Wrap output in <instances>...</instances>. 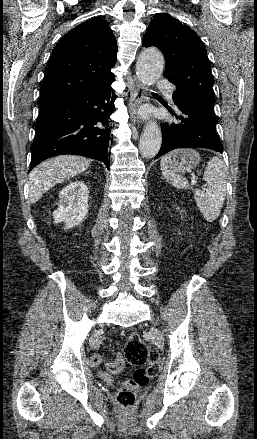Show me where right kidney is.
Wrapping results in <instances>:
<instances>
[{"mask_svg": "<svg viewBox=\"0 0 257 439\" xmlns=\"http://www.w3.org/2000/svg\"><path fill=\"white\" fill-rule=\"evenodd\" d=\"M58 208L53 212L54 223H65V229L80 224L88 214V187L81 181L65 186L59 193Z\"/></svg>", "mask_w": 257, "mask_h": 439, "instance_id": "obj_1", "label": "right kidney"}]
</instances>
